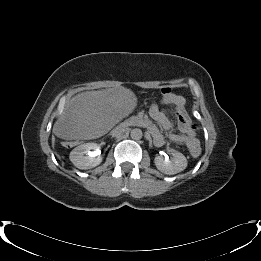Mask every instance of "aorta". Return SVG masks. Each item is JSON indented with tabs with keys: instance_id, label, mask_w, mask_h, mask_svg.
<instances>
[{
	"instance_id": "1",
	"label": "aorta",
	"mask_w": 261,
	"mask_h": 261,
	"mask_svg": "<svg viewBox=\"0 0 261 261\" xmlns=\"http://www.w3.org/2000/svg\"><path fill=\"white\" fill-rule=\"evenodd\" d=\"M130 136L134 140H140L143 136L142 130L139 128H134L131 130Z\"/></svg>"
}]
</instances>
